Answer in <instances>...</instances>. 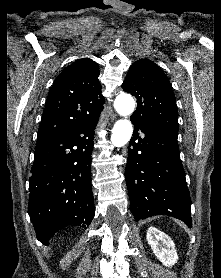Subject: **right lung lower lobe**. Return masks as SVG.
Listing matches in <instances>:
<instances>
[{
  "mask_svg": "<svg viewBox=\"0 0 221 278\" xmlns=\"http://www.w3.org/2000/svg\"><path fill=\"white\" fill-rule=\"evenodd\" d=\"M98 119H86L35 148L28 214L45 245L63 227L86 228L94 217L91 154Z\"/></svg>",
  "mask_w": 221,
  "mask_h": 278,
  "instance_id": "1",
  "label": "right lung lower lobe"
}]
</instances>
